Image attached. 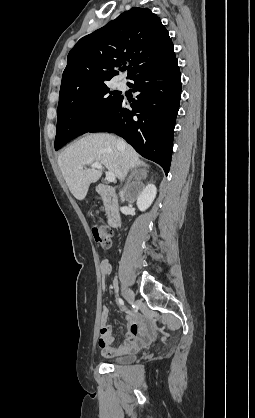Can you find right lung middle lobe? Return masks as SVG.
<instances>
[{
	"instance_id": "dd1d6c3e",
	"label": "right lung middle lobe",
	"mask_w": 255,
	"mask_h": 418,
	"mask_svg": "<svg viewBox=\"0 0 255 418\" xmlns=\"http://www.w3.org/2000/svg\"><path fill=\"white\" fill-rule=\"evenodd\" d=\"M120 98L110 91L107 83L60 93L55 150L105 120Z\"/></svg>"
}]
</instances>
